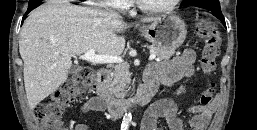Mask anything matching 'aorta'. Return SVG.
<instances>
[{
  "label": "aorta",
  "instance_id": "1",
  "mask_svg": "<svg viewBox=\"0 0 257 130\" xmlns=\"http://www.w3.org/2000/svg\"><path fill=\"white\" fill-rule=\"evenodd\" d=\"M131 119H132V114L129 112L128 114L125 115V117L122 121V124H121L122 130H127L129 128Z\"/></svg>",
  "mask_w": 257,
  "mask_h": 130
}]
</instances>
